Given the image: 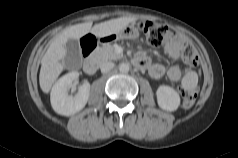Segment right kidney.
Masks as SVG:
<instances>
[{
  "mask_svg": "<svg viewBox=\"0 0 238 158\" xmlns=\"http://www.w3.org/2000/svg\"><path fill=\"white\" fill-rule=\"evenodd\" d=\"M78 76L79 73L76 71L67 73L52 87L51 105L56 113L63 116H71L85 107L90 92V84L88 82L79 87L78 93L74 97L68 95L72 82Z\"/></svg>",
  "mask_w": 238,
  "mask_h": 158,
  "instance_id": "ca27d5eb",
  "label": "right kidney"
}]
</instances>
